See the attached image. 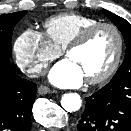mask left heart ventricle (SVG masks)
Instances as JSON below:
<instances>
[{"instance_id": "obj_1", "label": "left heart ventricle", "mask_w": 131, "mask_h": 131, "mask_svg": "<svg viewBox=\"0 0 131 131\" xmlns=\"http://www.w3.org/2000/svg\"><path fill=\"white\" fill-rule=\"evenodd\" d=\"M117 50V37L113 30H98L82 47L67 55L83 73L85 79L98 76L112 63Z\"/></svg>"}]
</instances>
